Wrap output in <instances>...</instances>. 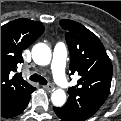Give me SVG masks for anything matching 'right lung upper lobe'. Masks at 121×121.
I'll return each mask as SVG.
<instances>
[{"label": "right lung upper lobe", "mask_w": 121, "mask_h": 121, "mask_svg": "<svg viewBox=\"0 0 121 121\" xmlns=\"http://www.w3.org/2000/svg\"><path fill=\"white\" fill-rule=\"evenodd\" d=\"M44 31L41 22L20 18L1 26V110L26 96L34 87L20 74L11 76L23 62L22 51Z\"/></svg>", "instance_id": "right-lung-upper-lobe-1"}]
</instances>
